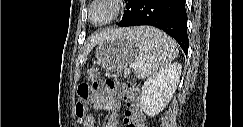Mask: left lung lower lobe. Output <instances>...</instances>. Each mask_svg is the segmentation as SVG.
<instances>
[{"label": "left lung lower lobe", "mask_w": 243, "mask_h": 127, "mask_svg": "<svg viewBox=\"0 0 243 127\" xmlns=\"http://www.w3.org/2000/svg\"><path fill=\"white\" fill-rule=\"evenodd\" d=\"M119 26L151 25L172 36L188 52L185 0H130Z\"/></svg>", "instance_id": "left-lung-lower-lobe-1"}]
</instances>
